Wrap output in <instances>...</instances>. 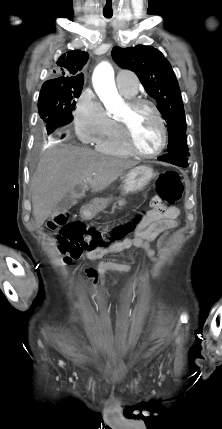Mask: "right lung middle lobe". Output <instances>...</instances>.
Instances as JSON below:
<instances>
[{
  "label": "right lung middle lobe",
  "mask_w": 222,
  "mask_h": 429,
  "mask_svg": "<svg viewBox=\"0 0 222 429\" xmlns=\"http://www.w3.org/2000/svg\"><path fill=\"white\" fill-rule=\"evenodd\" d=\"M82 86L83 84L42 86L38 110L47 135L65 130L73 120L72 111L76 98L81 95Z\"/></svg>",
  "instance_id": "obj_1"
}]
</instances>
